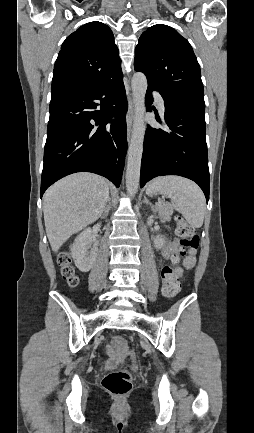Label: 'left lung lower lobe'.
<instances>
[{"label": "left lung lower lobe", "instance_id": "0a47b994", "mask_svg": "<svg viewBox=\"0 0 254 433\" xmlns=\"http://www.w3.org/2000/svg\"><path fill=\"white\" fill-rule=\"evenodd\" d=\"M153 86L146 93L151 112ZM163 128L148 126L141 161L140 187L163 175H179L195 181L209 200L210 178L206 144L205 107L182 100H165Z\"/></svg>", "mask_w": 254, "mask_h": 433}]
</instances>
